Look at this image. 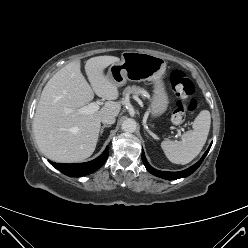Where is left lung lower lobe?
<instances>
[{"instance_id":"0a47b994","label":"left lung lower lobe","mask_w":248,"mask_h":248,"mask_svg":"<svg viewBox=\"0 0 248 248\" xmlns=\"http://www.w3.org/2000/svg\"><path fill=\"white\" fill-rule=\"evenodd\" d=\"M212 145V143H211ZM209 146L208 150L204 153V155L202 156V158L196 163L194 164L192 167H189L186 170L183 171H179V172H166V171H159L155 168H153L146 160L144 151H142V160H143V164L145 165L146 169L153 175L160 177V178H164L167 180H175V179H179V178H183V177H187L190 174H192L203 162L204 158L206 157L207 153L210 150Z\"/></svg>"}]
</instances>
